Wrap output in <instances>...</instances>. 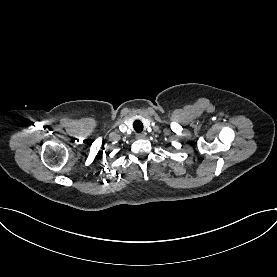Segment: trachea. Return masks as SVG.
<instances>
[{"label":"trachea","instance_id":"1","mask_svg":"<svg viewBox=\"0 0 277 277\" xmlns=\"http://www.w3.org/2000/svg\"><path fill=\"white\" fill-rule=\"evenodd\" d=\"M133 128L137 133H141L143 131V123L140 120H135Z\"/></svg>","mask_w":277,"mask_h":277}]
</instances>
